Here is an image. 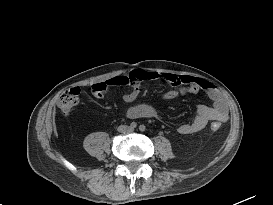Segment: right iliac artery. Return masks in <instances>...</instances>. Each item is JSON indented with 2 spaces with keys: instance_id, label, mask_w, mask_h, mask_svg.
Wrapping results in <instances>:
<instances>
[{
  "instance_id": "right-iliac-artery-1",
  "label": "right iliac artery",
  "mask_w": 273,
  "mask_h": 205,
  "mask_svg": "<svg viewBox=\"0 0 273 205\" xmlns=\"http://www.w3.org/2000/svg\"><path fill=\"white\" fill-rule=\"evenodd\" d=\"M130 127L133 128V129L136 128V127H137V123H136V122H132V123L130 124Z\"/></svg>"
}]
</instances>
